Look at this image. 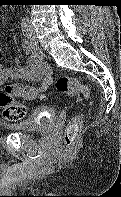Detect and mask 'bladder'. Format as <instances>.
<instances>
[{
    "mask_svg": "<svg viewBox=\"0 0 121 197\" xmlns=\"http://www.w3.org/2000/svg\"><path fill=\"white\" fill-rule=\"evenodd\" d=\"M55 117L56 114L52 108L39 107L32 116L9 124L8 128L17 132H40L49 127Z\"/></svg>",
    "mask_w": 121,
    "mask_h": 197,
    "instance_id": "bladder-1",
    "label": "bladder"
}]
</instances>
